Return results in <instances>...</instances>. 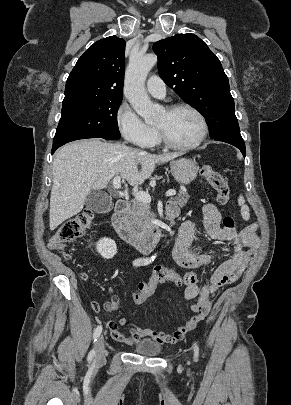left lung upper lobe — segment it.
Instances as JSON below:
<instances>
[{
  "label": "left lung upper lobe",
  "instance_id": "left-lung-upper-lobe-1",
  "mask_svg": "<svg viewBox=\"0 0 291 405\" xmlns=\"http://www.w3.org/2000/svg\"><path fill=\"white\" fill-rule=\"evenodd\" d=\"M159 75L206 118L212 139L242 138L228 78L216 55L194 34L156 42Z\"/></svg>",
  "mask_w": 291,
  "mask_h": 405
}]
</instances>
